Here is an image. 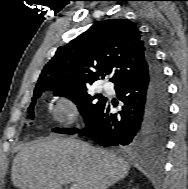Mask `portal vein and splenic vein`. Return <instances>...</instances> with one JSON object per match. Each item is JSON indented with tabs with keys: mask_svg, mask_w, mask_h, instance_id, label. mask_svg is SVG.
Segmentation results:
<instances>
[{
	"mask_svg": "<svg viewBox=\"0 0 188 189\" xmlns=\"http://www.w3.org/2000/svg\"><path fill=\"white\" fill-rule=\"evenodd\" d=\"M70 189H79L78 185L73 183L69 186Z\"/></svg>",
	"mask_w": 188,
	"mask_h": 189,
	"instance_id": "obj_1",
	"label": "portal vein and splenic vein"
}]
</instances>
